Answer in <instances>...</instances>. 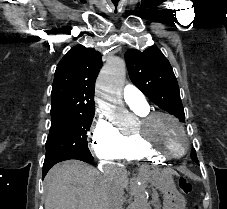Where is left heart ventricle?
<instances>
[{
	"label": "left heart ventricle",
	"instance_id": "b2bd125f",
	"mask_svg": "<svg viewBox=\"0 0 227 209\" xmlns=\"http://www.w3.org/2000/svg\"><path fill=\"white\" fill-rule=\"evenodd\" d=\"M139 129L140 125L137 130ZM143 131L152 145L164 154L180 153L185 147V136L168 118L158 117Z\"/></svg>",
	"mask_w": 227,
	"mask_h": 209
}]
</instances>
